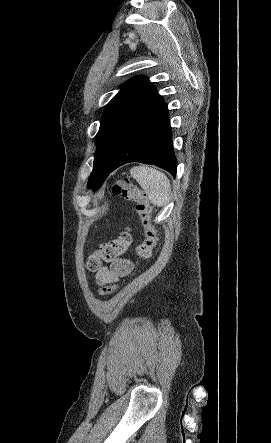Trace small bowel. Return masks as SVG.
<instances>
[{
  "mask_svg": "<svg viewBox=\"0 0 271 443\" xmlns=\"http://www.w3.org/2000/svg\"><path fill=\"white\" fill-rule=\"evenodd\" d=\"M134 269V263L128 259L118 258L110 263L109 267L101 268L95 280L98 284L107 285L116 282L120 277L127 276Z\"/></svg>",
  "mask_w": 271,
  "mask_h": 443,
  "instance_id": "1",
  "label": "small bowel"
}]
</instances>
